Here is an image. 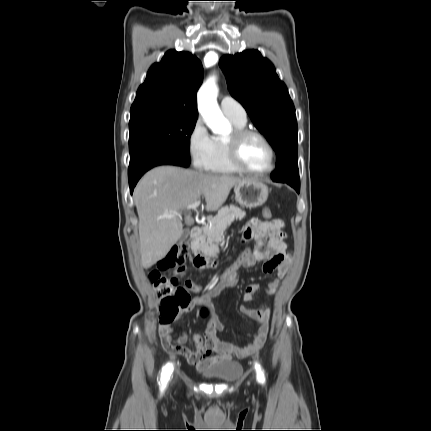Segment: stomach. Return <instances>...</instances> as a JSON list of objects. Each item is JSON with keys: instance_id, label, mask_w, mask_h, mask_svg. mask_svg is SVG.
Masks as SVG:
<instances>
[{"instance_id": "stomach-1", "label": "stomach", "mask_w": 431, "mask_h": 431, "mask_svg": "<svg viewBox=\"0 0 431 431\" xmlns=\"http://www.w3.org/2000/svg\"><path fill=\"white\" fill-rule=\"evenodd\" d=\"M236 201L248 208H256L263 205L268 198V187L252 178H248L235 186Z\"/></svg>"}]
</instances>
